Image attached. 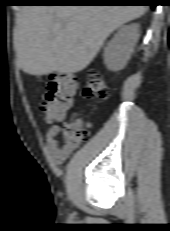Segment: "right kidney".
Instances as JSON below:
<instances>
[{
    "mask_svg": "<svg viewBox=\"0 0 170 231\" xmlns=\"http://www.w3.org/2000/svg\"><path fill=\"white\" fill-rule=\"evenodd\" d=\"M138 39V24L121 27L104 49V62L107 68L112 71L122 69L127 64Z\"/></svg>",
    "mask_w": 170,
    "mask_h": 231,
    "instance_id": "right-kidney-1",
    "label": "right kidney"
}]
</instances>
